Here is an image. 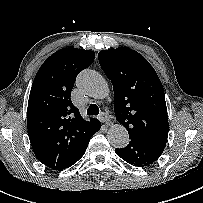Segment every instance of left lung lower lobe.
<instances>
[{
	"instance_id": "obj_1",
	"label": "left lung lower lobe",
	"mask_w": 203,
	"mask_h": 203,
	"mask_svg": "<svg viewBox=\"0 0 203 203\" xmlns=\"http://www.w3.org/2000/svg\"><path fill=\"white\" fill-rule=\"evenodd\" d=\"M130 140L126 147L115 149V152L119 157L133 166L144 167L154 163L164 150L138 137H130Z\"/></svg>"
}]
</instances>
